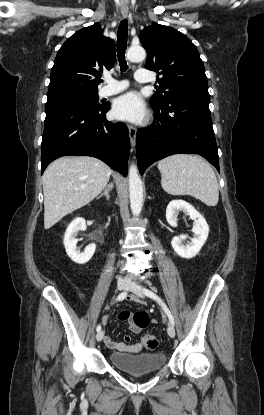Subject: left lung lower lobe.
<instances>
[{"label": "left lung lower lobe", "instance_id": "1", "mask_svg": "<svg viewBox=\"0 0 264 415\" xmlns=\"http://www.w3.org/2000/svg\"><path fill=\"white\" fill-rule=\"evenodd\" d=\"M209 97L184 95L165 105H151L156 121L137 131L136 152L141 174L153 162L179 153L199 154L218 171L217 145Z\"/></svg>", "mask_w": 264, "mask_h": 415}]
</instances>
